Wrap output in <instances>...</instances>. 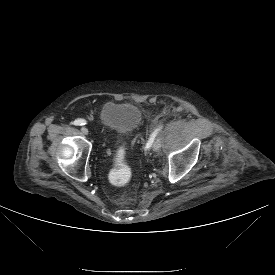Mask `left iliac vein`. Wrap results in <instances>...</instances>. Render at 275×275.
<instances>
[{
  "label": "left iliac vein",
  "mask_w": 275,
  "mask_h": 275,
  "mask_svg": "<svg viewBox=\"0 0 275 275\" xmlns=\"http://www.w3.org/2000/svg\"><path fill=\"white\" fill-rule=\"evenodd\" d=\"M161 144H162V140L160 137H157L154 142H153V145H152V148L154 151H157L160 149L161 147Z\"/></svg>",
  "instance_id": "1"
}]
</instances>
